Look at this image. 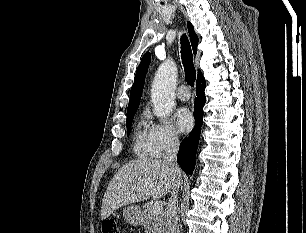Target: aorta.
<instances>
[{"instance_id": "obj_1", "label": "aorta", "mask_w": 306, "mask_h": 233, "mask_svg": "<svg viewBox=\"0 0 306 233\" xmlns=\"http://www.w3.org/2000/svg\"><path fill=\"white\" fill-rule=\"evenodd\" d=\"M177 66L171 59L163 62L154 77L151 99L154 113L158 117H168L175 106V88L177 81Z\"/></svg>"}]
</instances>
